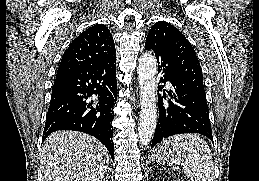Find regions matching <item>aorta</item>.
Listing matches in <instances>:
<instances>
[{"instance_id":"762f6f07","label":"aorta","mask_w":259,"mask_h":181,"mask_svg":"<svg viewBox=\"0 0 259 181\" xmlns=\"http://www.w3.org/2000/svg\"><path fill=\"white\" fill-rule=\"evenodd\" d=\"M137 70L141 108L138 135L141 145L146 146L153 138L157 123V61L155 56L150 52L144 53L139 59Z\"/></svg>"}]
</instances>
